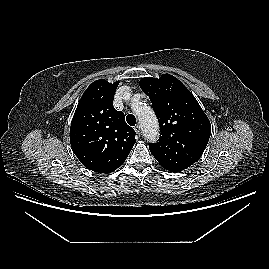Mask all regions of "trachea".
Here are the masks:
<instances>
[{
    "mask_svg": "<svg viewBox=\"0 0 269 269\" xmlns=\"http://www.w3.org/2000/svg\"><path fill=\"white\" fill-rule=\"evenodd\" d=\"M126 121L130 126H134L136 124V118L134 115L132 114H128L126 116Z\"/></svg>",
    "mask_w": 269,
    "mask_h": 269,
    "instance_id": "1",
    "label": "trachea"
}]
</instances>
